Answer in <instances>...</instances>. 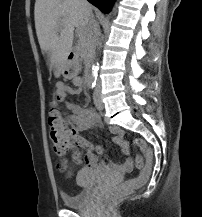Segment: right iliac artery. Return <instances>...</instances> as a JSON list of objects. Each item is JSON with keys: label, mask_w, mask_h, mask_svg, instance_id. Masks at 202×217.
Here are the masks:
<instances>
[{"label": "right iliac artery", "mask_w": 202, "mask_h": 217, "mask_svg": "<svg viewBox=\"0 0 202 217\" xmlns=\"http://www.w3.org/2000/svg\"><path fill=\"white\" fill-rule=\"evenodd\" d=\"M95 86H96V82L95 81L90 83V87L91 88H94Z\"/></svg>", "instance_id": "right-iliac-artery-1"}]
</instances>
